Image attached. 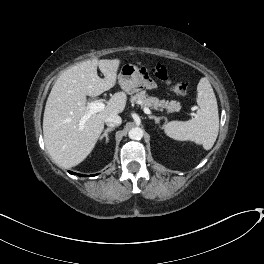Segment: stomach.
<instances>
[{
  "label": "stomach",
  "instance_id": "1",
  "mask_svg": "<svg viewBox=\"0 0 264 264\" xmlns=\"http://www.w3.org/2000/svg\"><path fill=\"white\" fill-rule=\"evenodd\" d=\"M143 80L144 76L140 69L131 63L124 64L118 75L119 85L128 94L138 92Z\"/></svg>",
  "mask_w": 264,
  "mask_h": 264
}]
</instances>
